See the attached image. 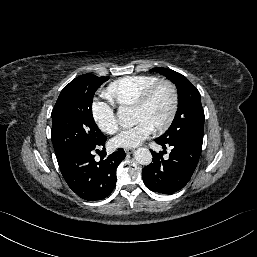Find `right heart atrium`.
<instances>
[{
    "label": "right heart atrium",
    "instance_id": "d8ad5b80",
    "mask_svg": "<svg viewBox=\"0 0 257 257\" xmlns=\"http://www.w3.org/2000/svg\"><path fill=\"white\" fill-rule=\"evenodd\" d=\"M94 108L95 106L93 107V119L98 128L106 134L115 133L118 129V123L115 115L113 113H110L108 119L104 121L98 116Z\"/></svg>",
    "mask_w": 257,
    "mask_h": 257
}]
</instances>
